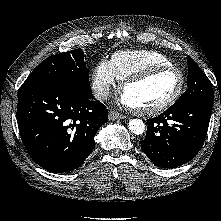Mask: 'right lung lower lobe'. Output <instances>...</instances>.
I'll return each mask as SVG.
<instances>
[{"instance_id": "1", "label": "right lung lower lobe", "mask_w": 221, "mask_h": 221, "mask_svg": "<svg viewBox=\"0 0 221 221\" xmlns=\"http://www.w3.org/2000/svg\"><path fill=\"white\" fill-rule=\"evenodd\" d=\"M77 88L60 83L21 86L17 123L22 142L42 168L70 172L95 147L94 136L108 121V110Z\"/></svg>"}]
</instances>
